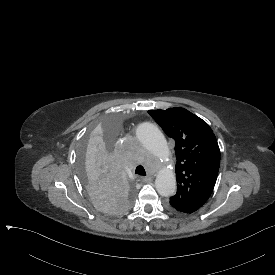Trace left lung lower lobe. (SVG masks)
Masks as SVG:
<instances>
[{"mask_svg":"<svg viewBox=\"0 0 275 275\" xmlns=\"http://www.w3.org/2000/svg\"><path fill=\"white\" fill-rule=\"evenodd\" d=\"M169 209H170L171 211H173V212H183V211H180V210H178V209H176V208H173V207H171V206H169ZM183 213H186V212H183Z\"/></svg>","mask_w":275,"mask_h":275,"instance_id":"left-lung-lower-lobe-1","label":"left lung lower lobe"}]
</instances>
